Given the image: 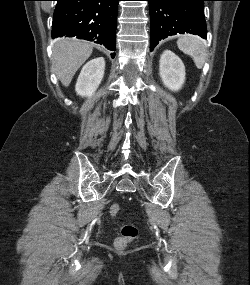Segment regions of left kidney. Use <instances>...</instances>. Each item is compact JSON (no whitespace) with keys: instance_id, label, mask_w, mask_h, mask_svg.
Wrapping results in <instances>:
<instances>
[{"instance_id":"1","label":"left kidney","mask_w":250,"mask_h":285,"mask_svg":"<svg viewBox=\"0 0 250 285\" xmlns=\"http://www.w3.org/2000/svg\"><path fill=\"white\" fill-rule=\"evenodd\" d=\"M159 74L165 87L178 91L185 82V66L182 60L170 50L160 57Z\"/></svg>"}]
</instances>
